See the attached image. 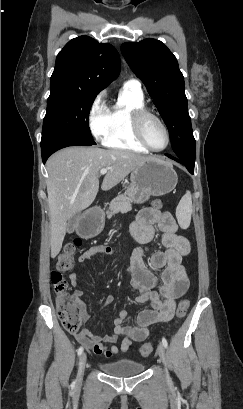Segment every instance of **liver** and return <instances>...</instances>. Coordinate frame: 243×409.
<instances>
[{"instance_id": "obj_1", "label": "liver", "mask_w": 243, "mask_h": 409, "mask_svg": "<svg viewBox=\"0 0 243 409\" xmlns=\"http://www.w3.org/2000/svg\"><path fill=\"white\" fill-rule=\"evenodd\" d=\"M152 159L118 149L81 146L53 154L46 163L51 257L55 258L62 248L70 218L95 200L101 169H108L101 185L102 190L107 191Z\"/></svg>"}]
</instances>
